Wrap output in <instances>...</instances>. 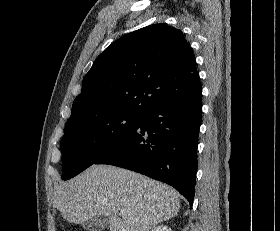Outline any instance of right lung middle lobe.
I'll use <instances>...</instances> for the list:
<instances>
[{
	"label": "right lung middle lobe",
	"mask_w": 280,
	"mask_h": 231,
	"mask_svg": "<svg viewBox=\"0 0 280 231\" xmlns=\"http://www.w3.org/2000/svg\"><path fill=\"white\" fill-rule=\"evenodd\" d=\"M142 115L114 114L74 118L65 125L60 144L63 180H68L106 155L139 124Z\"/></svg>",
	"instance_id": "1"
}]
</instances>
